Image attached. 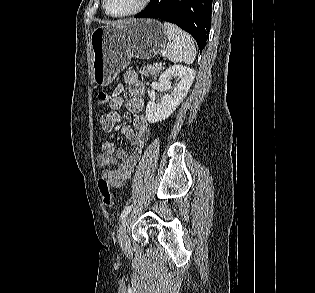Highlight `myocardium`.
Returning <instances> with one entry per match:
<instances>
[{"label": "myocardium", "mask_w": 315, "mask_h": 293, "mask_svg": "<svg viewBox=\"0 0 315 293\" xmlns=\"http://www.w3.org/2000/svg\"><path fill=\"white\" fill-rule=\"evenodd\" d=\"M151 0H141L140 4L133 10L124 13V14H113L108 10L107 7V0H103V9L105 11V13L111 17L114 18H125V17H129V16H133L136 15L140 12H142L150 3Z\"/></svg>", "instance_id": "1"}]
</instances>
